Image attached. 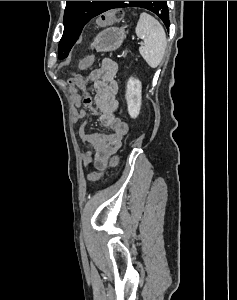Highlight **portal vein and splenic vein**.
<instances>
[{
    "label": "portal vein and splenic vein",
    "instance_id": "obj_1",
    "mask_svg": "<svg viewBox=\"0 0 237 300\" xmlns=\"http://www.w3.org/2000/svg\"><path fill=\"white\" fill-rule=\"evenodd\" d=\"M138 45H142V43H138Z\"/></svg>",
    "mask_w": 237,
    "mask_h": 300
}]
</instances>
